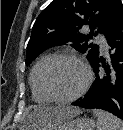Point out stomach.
Listing matches in <instances>:
<instances>
[{"label": "stomach", "mask_w": 123, "mask_h": 130, "mask_svg": "<svg viewBox=\"0 0 123 130\" xmlns=\"http://www.w3.org/2000/svg\"><path fill=\"white\" fill-rule=\"evenodd\" d=\"M95 127V121L90 118H76L63 121L49 130H94ZM23 130L30 129L25 128Z\"/></svg>", "instance_id": "stomach-1"}]
</instances>
